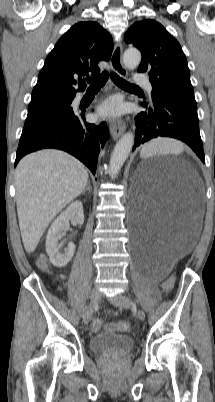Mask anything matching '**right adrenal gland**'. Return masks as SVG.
Wrapping results in <instances>:
<instances>
[{
    "label": "right adrenal gland",
    "instance_id": "1",
    "mask_svg": "<svg viewBox=\"0 0 215 402\" xmlns=\"http://www.w3.org/2000/svg\"><path fill=\"white\" fill-rule=\"evenodd\" d=\"M87 190H88L89 192L92 191V188H91V186H90V181H88L87 186H86L85 189L83 190L82 194H85V192H86Z\"/></svg>",
    "mask_w": 215,
    "mask_h": 402
}]
</instances>
